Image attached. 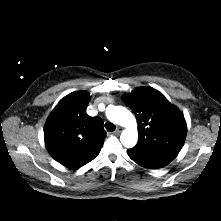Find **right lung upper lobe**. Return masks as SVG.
<instances>
[{"instance_id": "obj_1", "label": "right lung upper lobe", "mask_w": 221, "mask_h": 221, "mask_svg": "<svg viewBox=\"0 0 221 221\" xmlns=\"http://www.w3.org/2000/svg\"><path fill=\"white\" fill-rule=\"evenodd\" d=\"M90 95L77 91L65 96L49 115L44 129L50 155L70 169H78L100 152L106 132L100 117L86 113Z\"/></svg>"}]
</instances>
